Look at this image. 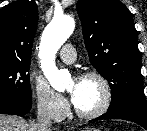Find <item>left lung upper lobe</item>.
I'll use <instances>...</instances> for the list:
<instances>
[{"instance_id":"left-lung-upper-lobe-1","label":"left lung upper lobe","mask_w":147,"mask_h":131,"mask_svg":"<svg viewBox=\"0 0 147 131\" xmlns=\"http://www.w3.org/2000/svg\"><path fill=\"white\" fill-rule=\"evenodd\" d=\"M77 13L90 62L111 88L108 111L147 109L131 12L118 0H78Z\"/></svg>"}]
</instances>
